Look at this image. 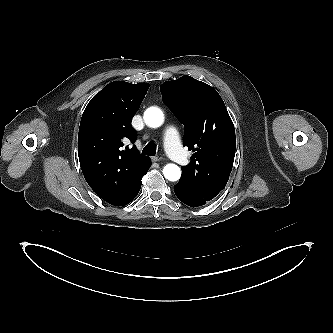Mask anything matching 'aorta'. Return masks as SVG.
<instances>
[{"label":"aorta","mask_w":333,"mask_h":333,"mask_svg":"<svg viewBox=\"0 0 333 333\" xmlns=\"http://www.w3.org/2000/svg\"><path fill=\"white\" fill-rule=\"evenodd\" d=\"M144 121L149 127H160L164 121L163 112L156 107L148 108L144 113ZM163 174L169 181H177L181 176V170L175 164H167L163 168Z\"/></svg>","instance_id":"aorta-1"}]
</instances>
